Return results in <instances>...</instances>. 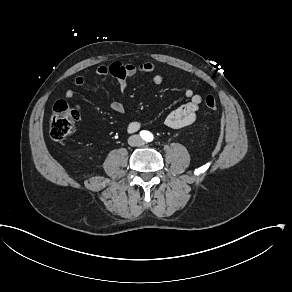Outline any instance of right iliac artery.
Here are the masks:
<instances>
[{"instance_id":"obj_1","label":"right iliac artery","mask_w":292,"mask_h":292,"mask_svg":"<svg viewBox=\"0 0 292 292\" xmlns=\"http://www.w3.org/2000/svg\"><path fill=\"white\" fill-rule=\"evenodd\" d=\"M146 134H147V132H146V131H141V132H140V135H141V137H145V136H146Z\"/></svg>"}]
</instances>
